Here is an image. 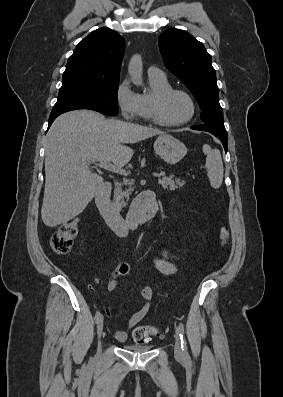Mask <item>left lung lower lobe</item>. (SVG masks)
I'll return each instance as SVG.
<instances>
[{
  "label": "left lung lower lobe",
  "mask_w": 283,
  "mask_h": 397,
  "mask_svg": "<svg viewBox=\"0 0 283 397\" xmlns=\"http://www.w3.org/2000/svg\"><path fill=\"white\" fill-rule=\"evenodd\" d=\"M193 130L207 131L217 138H219L224 146L225 152H227V132L226 129H219L210 125H196L192 126Z\"/></svg>",
  "instance_id": "1"
}]
</instances>
